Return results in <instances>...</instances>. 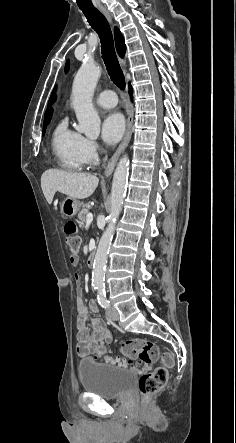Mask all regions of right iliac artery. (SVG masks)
Segmentation results:
<instances>
[{"mask_svg": "<svg viewBox=\"0 0 236 443\" xmlns=\"http://www.w3.org/2000/svg\"><path fill=\"white\" fill-rule=\"evenodd\" d=\"M96 289H98V287H97V286H95V287H94V290H96Z\"/></svg>", "mask_w": 236, "mask_h": 443, "instance_id": "right-iliac-artery-1", "label": "right iliac artery"}]
</instances>
